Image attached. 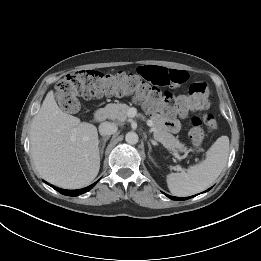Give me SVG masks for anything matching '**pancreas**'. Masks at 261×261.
Instances as JSON below:
<instances>
[{
  "label": "pancreas",
  "instance_id": "obj_1",
  "mask_svg": "<svg viewBox=\"0 0 261 261\" xmlns=\"http://www.w3.org/2000/svg\"><path fill=\"white\" fill-rule=\"evenodd\" d=\"M105 109L108 112V116L111 120L117 121L118 123H123L128 118V111L130 107L127 104L116 103L108 104ZM154 122V139L164 143L170 147L176 148L182 152H186L187 148L184 144L180 143L177 138L172 134L164 130L161 125L156 121V117L151 118Z\"/></svg>",
  "mask_w": 261,
  "mask_h": 261
}]
</instances>
